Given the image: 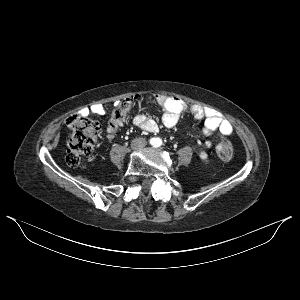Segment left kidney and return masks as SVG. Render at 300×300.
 Instances as JSON below:
<instances>
[{"label": "left kidney", "mask_w": 300, "mask_h": 300, "mask_svg": "<svg viewBox=\"0 0 300 300\" xmlns=\"http://www.w3.org/2000/svg\"><path fill=\"white\" fill-rule=\"evenodd\" d=\"M199 156H200L201 159L204 160V159H207V156H208V155H207L206 152L202 151V152H200Z\"/></svg>", "instance_id": "left-kidney-1"}]
</instances>
